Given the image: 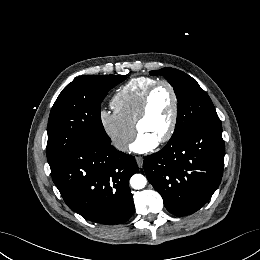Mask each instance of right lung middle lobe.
<instances>
[{"label": "right lung middle lobe", "instance_id": "obj_1", "mask_svg": "<svg viewBox=\"0 0 260 260\" xmlns=\"http://www.w3.org/2000/svg\"><path fill=\"white\" fill-rule=\"evenodd\" d=\"M126 78L124 75H85L64 88L48 121L47 159L50 165L78 146H111L101 121L100 106L107 92Z\"/></svg>", "mask_w": 260, "mask_h": 260}]
</instances>
